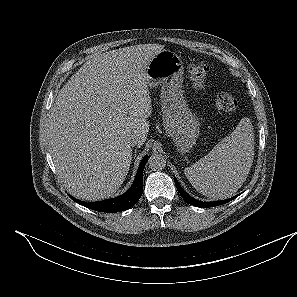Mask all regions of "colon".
<instances>
[{"label": "colon", "mask_w": 297, "mask_h": 297, "mask_svg": "<svg viewBox=\"0 0 297 297\" xmlns=\"http://www.w3.org/2000/svg\"><path fill=\"white\" fill-rule=\"evenodd\" d=\"M209 70L210 65L206 61H198L189 68L192 88L195 92L202 93ZM214 107L220 113H230L236 110L237 100L229 93H219L214 99Z\"/></svg>", "instance_id": "1"}]
</instances>
